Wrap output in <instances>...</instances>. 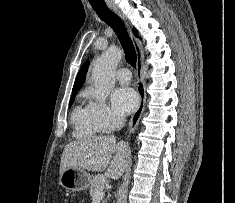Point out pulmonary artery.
Returning a JSON list of instances; mask_svg holds the SVG:
<instances>
[{"label": "pulmonary artery", "mask_w": 235, "mask_h": 203, "mask_svg": "<svg viewBox=\"0 0 235 203\" xmlns=\"http://www.w3.org/2000/svg\"><path fill=\"white\" fill-rule=\"evenodd\" d=\"M115 77L122 83H127L131 80V72L127 68H120L116 71Z\"/></svg>", "instance_id": "e3ab8cb5"}]
</instances>
